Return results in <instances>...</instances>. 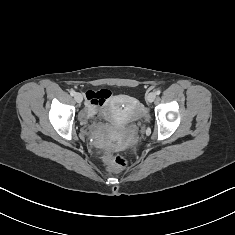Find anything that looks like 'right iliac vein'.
I'll return each instance as SVG.
<instances>
[{"mask_svg": "<svg viewBox=\"0 0 235 235\" xmlns=\"http://www.w3.org/2000/svg\"><path fill=\"white\" fill-rule=\"evenodd\" d=\"M74 98H75L76 102H78V103H81L83 100V96L81 93H76Z\"/></svg>", "mask_w": 235, "mask_h": 235, "instance_id": "63e3f726", "label": "right iliac vein"}]
</instances>
